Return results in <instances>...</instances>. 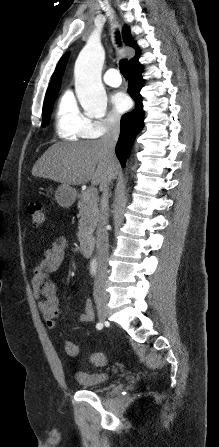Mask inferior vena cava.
I'll use <instances>...</instances> for the list:
<instances>
[{"label": "inferior vena cava", "instance_id": "602c4592", "mask_svg": "<svg viewBox=\"0 0 219 447\" xmlns=\"http://www.w3.org/2000/svg\"><path fill=\"white\" fill-rule=\"evenodd\" d=\"M119 137V118L115 117L107 126L106 134L101 138L104 147V152L111 162L115 159V146ZM109 185L106 181L100 185L102 192L100 201V216L96 231V251H97V265L96 278L94 284V298L99 300L101 296H105L104 284L107 278L108 266V232L106 225L108 223V201H109Z\"/></svg>", "mask_w": 219, "mask_h": 447}]
</instances>
